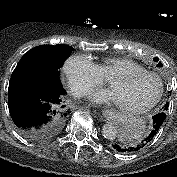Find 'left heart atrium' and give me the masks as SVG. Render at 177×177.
Instances as JSON below:
<instances>
[{
  "mask_svg": "<svg viewBox=\"0 0 177 177\" xmlns=\"http://www.w3.org/2000/svg\"><path fill=\"white\" fill-rule=\"evenodd\" d=\"M91 99L96 103H117L115 94L111 89L98 90L92 94Z\"/></svg>",
  "mask_w": 177,
  "mask_h": 177,
  "instance_id": "obj_1",
  "label": "left heart atrium"
}]
</instances>
